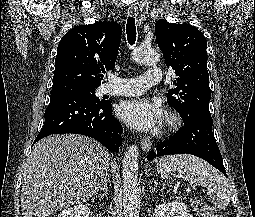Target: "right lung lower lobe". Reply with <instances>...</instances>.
<instances>
[{"instance_id":"1","label":"right lung lower lobe","mask_w":255,"mask_h":217,"mask_svg":"<svg viewBox=\"0 0 255 217\" xmlns=\"http://www.w3.org/2000/svg\"><path fill=\"white\" fill-rule=\"evenodd\" d=\"M109 101L94 102L80 95L54 93L45 111V123L35 139L51 134H82L101 142L111 152L122 143V125L115 119Z\"/></svg>"}]
</instances>
